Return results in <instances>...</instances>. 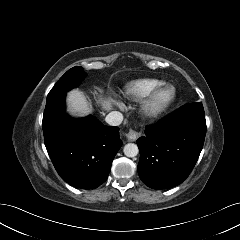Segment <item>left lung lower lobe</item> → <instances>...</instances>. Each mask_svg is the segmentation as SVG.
<instances>
[{"label":"left lung lower lobe","instance_id":"left-lung-lower-lobe-1","mask_svg":"<svg viewBox=\"0 0 240 240\" xmlns=\"http://www.w3.org/2000/svg\"><path fill=\"white\" fill-rule=\"evenodd\" d=\"M205 134L201 102L185 104L157 124L147 126L145 136L137 140L140 179L153 189L182 183L198 160Z\"/></svg>","mask_w":240,"mask_h":240}]
</instances>
